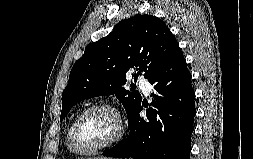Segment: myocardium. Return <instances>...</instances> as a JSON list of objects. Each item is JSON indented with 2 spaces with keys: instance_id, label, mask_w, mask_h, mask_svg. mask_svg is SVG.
Returning <instances> with one entry per match:
<instances>
[{
  "instance_id": "obj_1",
  "label": "myocardium",
  "mask_w": 253,
  "mask_h": 159,
  "mask_svg": "<svg viewBox=\"0 0 253 159\" xmlns=\"http://www.w3.org/2000/svg\"><path fill=\"white\" fill-rule=\"evenodd\" d=\"M100 109L107 110V111L111 112L113 114V116L115 117L116 123H117V131H116L115 135L109 141H107L99 146L93 147L91 149L79 148L76 144V141H75L76 130H77V126H78L79 122L87 113L94 111V110H100ZM125 131H126V124H125L124 117H123L122 113L120 112V110L116 106L109 104V103L93 104V105L85 108L83 111H81L76 116V118L73 120V122L70 126V130H69V146L74 152H76L78 154L91 155L96 152L110 148V147L114 146L115 144H117L123 138Z\"/></svg>"
}]
</instances>
